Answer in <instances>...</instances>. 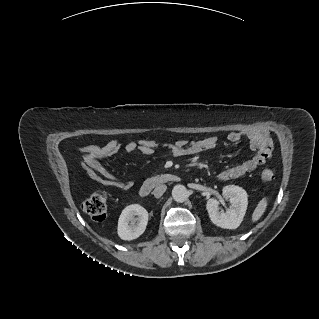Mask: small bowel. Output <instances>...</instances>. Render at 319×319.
I'll return each instance as SVG.
<instances>
[{
    "label": "small bowel",
    "mask_w": 319,
    "mask_h": 319,
    "mask_svg": "<svg viewBox=\"0 0 319 319\" xmlns=\"http://www.w3.org/2000/svg\"><path fill=\"white\" fill-rule=\"evenodd\" d=\"M243 134L237 131H232L228 134L227 139L231 143H237L242 139ZM251 150L254 154L235 165L229 166L220 170L217 173V178L221 181L239 178L247 173L254 171L257 167L266 162L265 157L258 147L263 141L268 139L267 132L248 134ZM218 144L216 136L206 137L197 141L178 140L175 142L161 143L152 140L131 141L122 144L119 140H110L103 145H90L79 148L83 157L81 166L86 175L94 182L105 186L116 187L120 189H129L132 182L127 178H120L111 173L101 160L114 156L121 150L127 153L139 151L144 155H150L156 150L164 149L171 153L174 157L196 156L208 150L215 148Z\"/></svg>",
    "instance_id": "c3829d8e"
}]
</instances>
